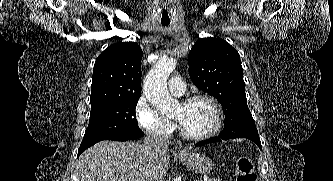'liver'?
<instances>
[{
	"mask_svg": "<svg viewBox=\"0 0 333 181\" xmlns=\"http://www.w3.org/2000/svg\"><path fill=\"white\" fill-rule=\"evenodd\" d=\"M169 162L167 149L154 158L144 144L101 141L80 156L79 181H148L154 170L166 176Z\"/></svg>",
	"mask_w": 333,
	"mask_h": 181,
	"instance_id": "obj_1",
	"label": "liver"
}]
</instances>
